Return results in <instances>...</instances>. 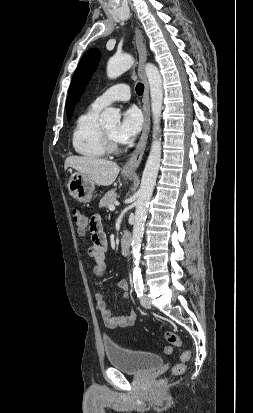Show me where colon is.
Segmentation results:
<instances>
[{"instance_id":"obj_1","label":"colon","mask_w":253,"mask_h":413,"mask_svg":"<svg viewBox=\"0 0 253 413\" xmlns=\"http://www.w3.org/2000/svg\"><path fill=\"white\" fill-rule=\"evenodd\" d=\"M72 220L77 226L78 232L80 234H85V232L89 229V223L86 216L79 210L73 209L72 211ZM165 339L171 346L181 347L182 346V339L173 331H166L165 332ZM167 346L165 347L164 351L166 353H171L172 347ZM190 359V352L185 351L180 356V362L173 366L172 368V375L178 376L182 374L185 370V364Z\"/></svg>"}]
</instances>
